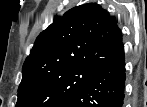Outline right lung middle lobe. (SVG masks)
<instances>
[{
    "label": "right lung middle lobe",
    "instance_id": "right-lung-middle-lobe-1",
    "mask_svg": "<svg viewBox=\"0 0 147 107\" xmlns=\"http://www.w3.org/2000/svg\"><path fill=\"white\" fill-rule=\"evenodd\" d=\"M97 70L76 66L22 75L16 107H61L88 83Z\"/></svg>",
    "mask_w": 147,
    "mask_h": 107
}]
</instances>
